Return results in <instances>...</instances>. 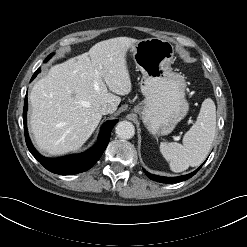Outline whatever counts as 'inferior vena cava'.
Wrapping results in <instances>:
<instances>
[{
  "mask_svg": "<svg viewBox=\"0 0 247 247\" xmlns=\"http://www.w3.org/2000/svg\"><path fill=\"white\" fill-rule=\"evenodd\" d=\"M113 112V108L109 104H104L100 107V113L102 115H107Z\"/></svg>",
  "mask_w": 247,
  "mask_h": 247,
  "instance_id": "obj_1",
  "label": "inferior vena cava"
}]
</instances>
